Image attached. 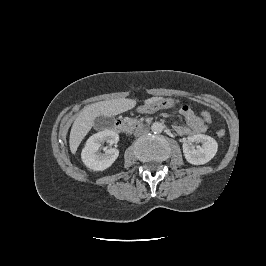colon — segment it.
Wrapping results in <instances>:
<instances>
[{
  "label": "colon",
  "mask_w": 266,
  "mask_h": 266,
  "mask_svg": "<svg viewBox=\"0 0 266 266\" xmlns=\"http://www.w3.org/2000/svg\"><path fill=\"white\" fill-rule=\"evenodd\" d=\"M200 117H201V119H202L204 122H206V123H210V122H212V119H213L211 113L208 112V111H202V112L200 113ZM217 135H218L219 137H223V136L225 135V130H223V129L218 130V131H217Z\"/></svg>",
  "instance_id": "5ec220e1"
}]
</instances>
